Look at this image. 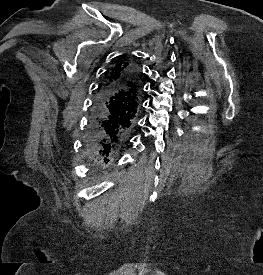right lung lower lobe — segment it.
<instances>
[{
	"label": "right lung lower lobe",
	"mask_w": 263,
	"mask_h": 275,
	"mask_svg": "<svg viewBox=\"0 0 263 275\" xmlns=\"http://www.w3.org/2000/svg\"><path fill=\"white\" fill-rule=\"evenodd\" d=\"M127 73L134 79L138 77L134 67ZM128 93L125 88L114 85L99 91L94 99L86 144L100 155L112 157L134 126L136 114L126 112Z\"/></svg>",
	"instance_id": "right-lung-lower-lobe-1"
}]
</instances>
